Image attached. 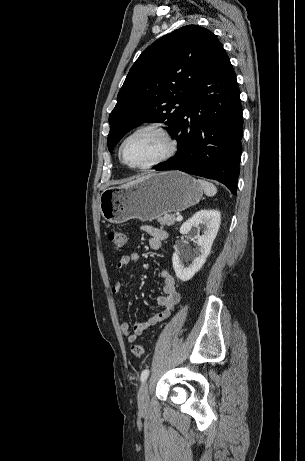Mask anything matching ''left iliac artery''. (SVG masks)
Returning <instances> with one entry per match:
<instances>
[{
	"mask_svg": "<svg viewBox=\"0 0 305 461\" xmlns=\"http://www.w3.org/2000/svg\"><path fill=\"white\" fill-rule=\"evenodd\" d=\"M148 376H149V370L148 369L143 370L141 373V377H140L141 382H145Z\"/></svg>",
	"mask_w": 305,
	"mask_h": 461,
	"instance_id": "1",
	"label": "left iliac artery"
}]
</instances>
